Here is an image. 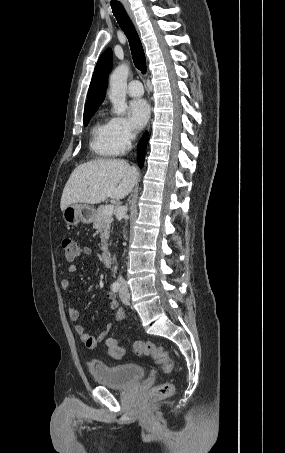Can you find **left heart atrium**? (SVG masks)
Returning a JSON list of instances; mask_svg holds the SVG:
<instances>
[{
  "label": "left heart atrium",
  "mask_w": 285,
  "mask_h": 453,
  "mask_svg": "<svg viewBox=\"0 0 285 453\" xmlns=\"http://www.w3.org/2000/svg\"><path fill=\"white\" fill-rule=\"evenodd\" d=\"M150 109L148 103L143 99H135L130 102L128 115L131 123L136 128H142L148 121Z\"/></svg>",
  "instance_id": "39dd6f15"
}]
</instances>
